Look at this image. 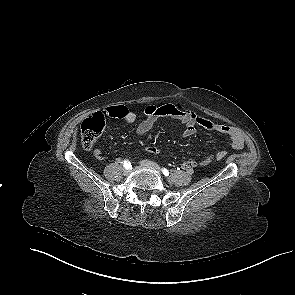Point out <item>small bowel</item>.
<instances>
[{
  "label": "small bowel",
  "instance_id": "small-bowel-1",
  "mask_svg": "<svg viewBox=\"0 0 295 295\" xmlns=\"http://www.w3.org/2000/svg\"><path fill=\"white\" fill-rule=\"evenodd\" d=\"M144 113L145 118L136 128V135L138 137L145 136L160 118L171 117L183 124L182 136L184 138H189L195 135L198 128H203L229 137L230 143L235 149H241L243 147V138L234 128L199 116L179 104H164L160 106L150 105L145 108ZM100 114L104 118H116L126 123H134L137 119L134 112L122 105L107 107ZM220 152L222 151L211 154L200 162L193 159L185 160L182 163V168L186 171H193L198 166H205L213 159H219L217 155ZM93 154L96 158H101L102 152L100 149L96 148L93 151Z\"/></svg>",
  "mask_w": 295,
  "mask_h": 295
}]
</instances>
